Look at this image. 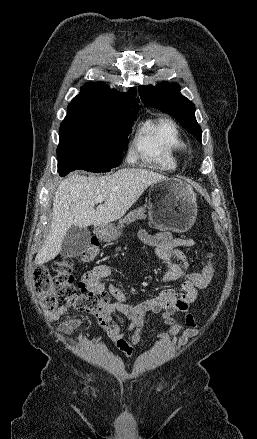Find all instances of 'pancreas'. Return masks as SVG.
<instances>
[{
	"label": "pancreas",
	"instance_id": "obj_1",
	"mask_svg": "<svg viewBox=\"0 0 257 439\" xmlns=\"http://www.w3.org/2000/svg\"><path fill=\"white\" fill-rule=\"evenodd\" d=\"M145 207H139L131 212H129L124 218L119 221V228L124 227L125 224H130L137 219H146L147 215L145 214Z\"/></svg>",
	"mask_w": 257,
	"mask_h": 439
}]
</instances>
